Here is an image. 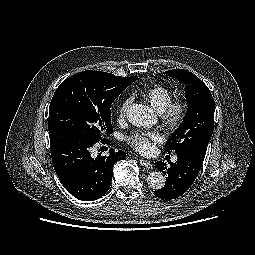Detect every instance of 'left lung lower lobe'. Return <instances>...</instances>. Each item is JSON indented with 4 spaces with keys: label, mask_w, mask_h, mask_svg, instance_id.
<instances>
[{
    "label": "left lung lower lobe",
    "mask_w": 255,
    "mask_h": 255,
    "mask_svg": "<svg viewBox=\"0 0 255 255\" xmlns=\"http://www.w3.org/2000/svg\"><path fill=\"white\" fill-rule=\"evenodd\" d=\"M177 157V162H169L170 168L164 162L155 163V167L167 176L165 186L154 192L161 199L171 200L185 193L195 181L205 155L190 151L177 154Z\"/></svg>",
    "instance_id": "obj_1"
}]
</instances>
